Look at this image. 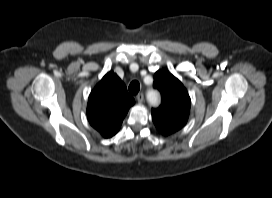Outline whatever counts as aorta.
I'll return each mask as SVG.
<instances>
[{
    "mask_svg": "<svg viewBox=\"0 0 272 198\" xmlns=\"http://www.w3.org/2000/svg\"><path fill=\"white\" fill-rule=\"evenodd\" d=\"M147 100L150 105L156 106L160 100L158 92L157 91H149L147 93Z\"/></svg>",
    "mask_w": 272,
    "mask_h": 198,
    "instance_id": "aorta-1",
    "label": "aorta"
}]
</instances>
